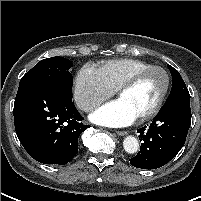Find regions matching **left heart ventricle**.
Wrapping results in <instances>:
<instances>
[{"mask_svg": "<svg viewBox=\"0 0 201 201\" xmlns=\"http://www.w3.org/2000/svg\"><path fill=\"white\" fill-rule=\"evenodd\" d=\"M163 85L164 77L162 73L153 71L133 87L124 91L119 98L139 117L155 105Z\"/></svg>", "mask_w": 201, "mask_h": 201, "instance_id": "1", "label": "left heart ventricle"}]
</instances>
